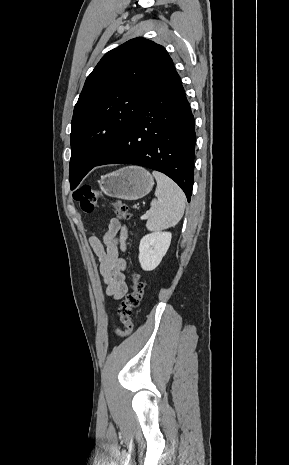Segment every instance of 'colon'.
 <instances>
[{"mask_svg": "<svg viewBox=\"0 0 289 465\" xmlns=\"http://www.w3.org/2000/svg\"><path fill=\"white\" fill-rule=\"evenodd\" d=\"M73 198L79 203L84 213L90 214L95 210L103 195L97 188L91 185H83L74 190ZM112 204L120 220L126 221L130 218L128 207L124 203L113 201ZM130 282L131 292L126 295L118 308V315L123 329H116L115 333L121 338H126L131 333L133 329L132 312L140 305L144 293V283L138 273L134 271L130 273Z\"/></svg>", "mask_w": 289, "mask_h": 465, "instance_id": "5ec220e1", "label": "colon"}]
</instances>
